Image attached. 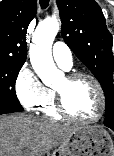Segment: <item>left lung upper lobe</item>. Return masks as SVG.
Masks as SVG:
<instances>
[{"label": "left lung upper lobe", "instance_id": "5c2ea615", "mask_svg": "<svg viewBox=\"0 0 114 156\" xmlns=\"http://www.w3.org/2000/svg\"><path fill=\"white\" fill-rule=\"evenodd\" d=\"M61 34L75 55L94 74L105 94V120L114 126L113 38L94 0H57Z\"/></svg>", "mask_w": 114, "mask_h": 156}]
</instances>
